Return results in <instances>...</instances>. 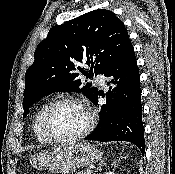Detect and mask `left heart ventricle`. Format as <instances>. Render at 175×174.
<instances>
[{"mask_svg":"<svg viewBox=\"0 0 175 174\" xmlns=\"http://www.w3.org/2000/svg\"><path fill=\"white\" fill-rule=\"evenodd\" d=\"M87 125L84 109L75 103L59 106L51 117V128L59 136H73L80 133Z\"/></svg>","mask_w":175,"mask_h":174,"instance_id":"left-heart-ventricle-1","label":"left heart ventricle"}]
</instances>
